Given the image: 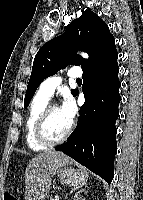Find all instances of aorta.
<instances>
[{
	"mask_svg": "<svg viewBox=\"0 0 143 200\" xmlns=\"http://www.w3.org/2000/svg\"><path fill=\"white\" fill-rule=\"evenodd\" d=\"M81 55L84 57V58H88V55L86 53H81Z\"/></svg>",
	"mask_w": 143,
	"mask_h": 200,
	"instance_id": "aorta-1",
	"label": "aorta"
}]
</instances>
